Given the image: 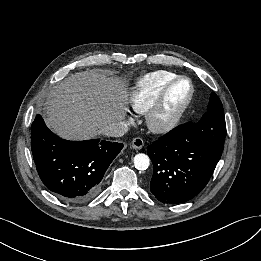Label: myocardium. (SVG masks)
I'll return each instance as SVG.
<instances>
[{
    "label": "myocardium",
    "instance_id": "f54148a6",
    "mask_svg": "<svg viewBox=\"0 0 261 261\" xmlns=\"http://www.w3.org/2000/svg\"><path fill=\"white\" fill-rule=\"evenodd\" d=\"M186 80L189 83V94L178 110L167 120H162V114L165 110L169 94L175 85ZM194 95V86L192 80L188 76L180 75L171 80L161 91L156 102L148 111L146 123L149 130L156 134H165L174 130L182 121L187 109L189 108Z\"/></svg>",
    "mask_w": 261,
    "mask_h": 261
}]
</instances>
